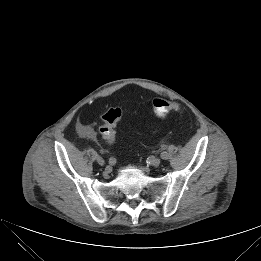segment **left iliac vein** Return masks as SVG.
I'll return each mask as SVG.
<instances>
[{
  "instance_id": "4c4485c4",
  "label": "left iliac vein",
  "mask_w": 261,
  "mask_h": 261,
  "mask_svg": "<svg viewBox=\"0 0 261 261\" xmlns=\"http://www.w3.org/2000/svg\"><path fill=\"white\" fill-rule=\"evenodd\" d=\"M160 163H161V159H160V158H154V159H152V161H151V165H152L153 167H158V166L160 165Z\"/></svg>"
}]
</instances>
